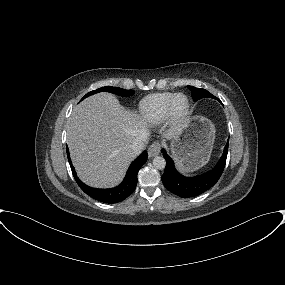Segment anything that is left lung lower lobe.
Segmentation results:
<instances>
[{
    "mask_svg": "<svg viewBox=\"0 0 285 285\" xmlns=\"http://www.w3.org/2000/svg\"><path fill=\"white\" fill-rule=\"evenodd\" d=\"M228 143L229 140L217 165L211 171L195 177H185L181 175L175 169L174 162L166 154L165 149H162L161 152L166 160V167L162 176L163 185L181 198L195 197L204 193L217 183L224 170L228 153Z\"/></svg>",
    "mask_w": 285,
    "mask_h": 285,
    "instance_id": "obj_1",
    "label": "left lung lower lobe"
}]
</instances>
